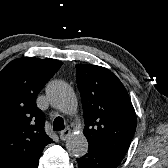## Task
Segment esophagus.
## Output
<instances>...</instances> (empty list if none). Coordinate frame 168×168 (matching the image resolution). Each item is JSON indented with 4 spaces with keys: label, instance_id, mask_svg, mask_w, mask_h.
<instances>
[{
    "label": "esophagus",
    "instance_id": "obj_1",
    "mask_svg": "<svg viewBox=\"0 0 168 168\" xmlns=\"http://www.w3.org/2000/svg\"><path fill=\"white\" fill-rule=\"evenodd\" d=\"M70 134H71V130L69 128L64 129L63 131L60 132L61 140L63 141L67 140Z\"/></svg>",
    "mask_w": 168,
    "mask_h": 168
}]
</instances>
